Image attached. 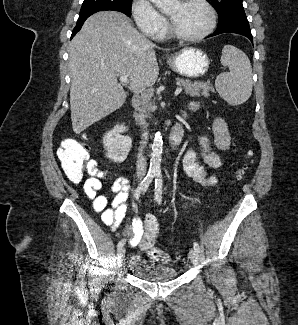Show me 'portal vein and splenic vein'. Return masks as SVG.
Masks as SVG:
<instances>
[{"label":"portal vein and splenic vein","mask_w":298,"mask_h":325,"mask_svg":"<svg viewBox=\"0 0 298 325\" xmlns=\"http://www.w3.org/2000/svg\"><path fill=\"white\" fill-rule=\"evenodd\" d=\"M119 80H120V82H125V84H129L128 76H122V74H120ZM182 90H183V86H177V88L174 92L175 96H178V94H180V92H182Z\"/></svg>","instance_id":"18ae733b"}]
</instances>
